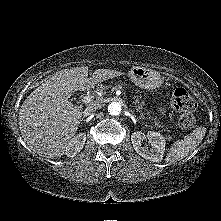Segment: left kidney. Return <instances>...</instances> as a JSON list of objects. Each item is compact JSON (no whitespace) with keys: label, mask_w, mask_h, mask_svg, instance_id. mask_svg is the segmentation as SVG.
<instances>
[{"label":"left kidney","mask_w":221,"mask_h":221,"mask_svg":"<svg viewBox=\"0 0 221 221\" xmlns=\"http://www.w3.org/2000/svg\"><path fill=\"white\" fill-rule=\"evenodd\" d=\"M147 137L149 143L151 144V149L142 146V141L144 136L141 132L137 131L132 133L131 141L135 151L152 162H160L163 159V154L165 150V138L158 132L149 131L145 138Z\"/></svg>","instance_id":"left-kidney-1"}]
</instances>
